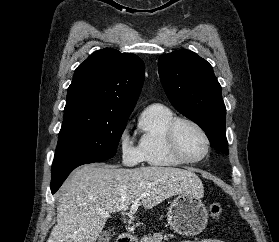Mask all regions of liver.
Wrapping results in <instances>:
<instances>
[{
  "instance_id": "6515ba94",
  "label": "liver",
  "mask_w": 279,
  "mask_h": 242,
  "mask_svg": "<svg viewBox=\"0 0 279 242\" xmlns=\"http://www.w3.org/2000/svg\"><path fill=\"white\" fill-rule=\"evenodd\" d=\"M204 188L192 171L172 167L120 169L89 164L63 183L57 205V224L47 242H96L107 218L126 210L137 198L145 209L179 194L202 197Z\"/></svg>"
}]
</instances>
